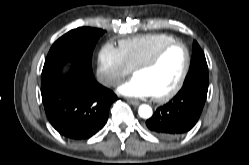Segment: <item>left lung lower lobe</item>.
I'll use <instances>...</instances> for the list:
<instances>
[{
    "mask_svg": "<svg viewBox=\"0 0 249 165\" xmlns=\"http://www.w3.org/2000/svg\"><path fill=\"white\" fill-rule=\"evenodd\" d=\"M208 91V79L184 82L177 95L159 107L146 121L147 128L164 139H174L191 130L197 123Z\"/></svg>",
    "mask_w": 249,
    "mask_h": 165,
    "instance_id": "1",
    "label": "left lung lower lobe"
}]
</instances>
